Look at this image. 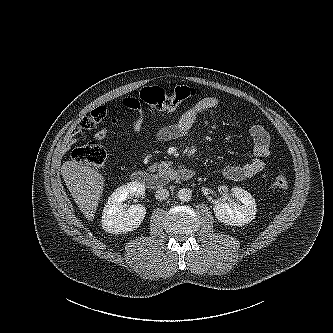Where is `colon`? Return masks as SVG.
Wrapping results in <instances>:
<instances>
[{"label":"colon","instance_id":"1","mask_svg":"<svg viewBox=\"0 0 333 333\" xmlns=\"http://www.w3.org/2000/svg\"><path fill=\"white\" fill-rule=\"evenodd\" d=\"M196 91L189 86H176L166 90L160 86L143 88L139 93V100L150 105L152 108L162 111L177 109L185 100L193 97ZM73 160L99 168L106 160L104 149L96 142H89L78 147L72 152ZM288 186V179L284 175H278L272 182L275 189H285Z\"/></svg>","mask_w":333,"mask_h":333}]
</instances>
